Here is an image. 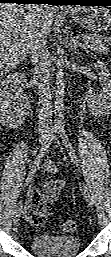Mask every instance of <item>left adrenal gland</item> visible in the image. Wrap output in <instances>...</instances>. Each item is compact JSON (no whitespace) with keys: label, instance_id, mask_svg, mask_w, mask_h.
<instances>
[{"label":"left adrenal gland","instance_id":"1","mask_svg":"<svg viewBox=\"0 0 111 257\" xmlns=\"http://www.w3.org/2000/svg\"><path fill=\"white\" fill-rule=\"evenodd\" d=\"M70 47L74 51H76V49L79 47H81L82 49H86L85 45L82 42H80V36L78 34L74 37H71Z\"/></svg>","mask_w":111,"mask_h":257}]
</instances>
